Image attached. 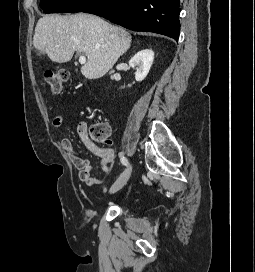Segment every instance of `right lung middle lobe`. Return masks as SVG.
Returning <instances> with one entry per match:
<instances>
[{
  "instance_id": "right-lung-middle-lobe-1",
  "label": "right lung middle lobe",
  "mask_w": 255,
  "mask_h": 272,
  "mask_svg": "<svg viewBox=\"0 0 255 272\" xmlns=\"http://www.w3.org/2000/svg\"><path fill=\"white\" fill-rule=\"evenodd\" d=\"M97 0H41L40 7L45 13L82 12Z\"/></svg>"
}]
</instances>
